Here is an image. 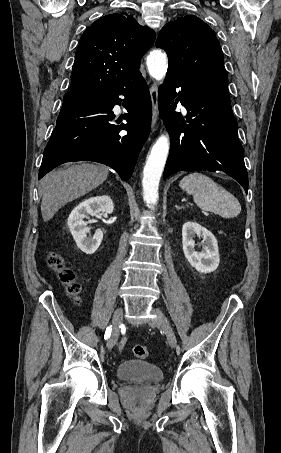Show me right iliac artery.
Here are the masks:
<instances>
[{
	"mask_svg": "<svg viewBox=\"0 0 281 453\" xmlns=\"http://www.w3.org/2000/svg\"><path fill=\"white\" fill-rule=\"evenodd\" d=\"M111 327H112V325L106 328V332H105V335H104L105 340L110 338V336H111V331H112Z\"/></svg>",
	"mask_w": 281,
	"mask_h": 453,
	"instance_id": "82829eb1",
	"label": "right iliac artery"
}]
</instances>
